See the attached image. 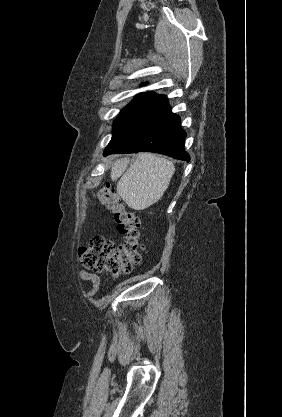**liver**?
I'll use <instances>...</instances> for the list:
<instances>
[{
  "label": "liver",
  "mask_w": 282,
  "mask_h": 417,
  "mask_svg": "<svg viewBox=\"0 0 282 417\" xmlns=\"http://www.w3.org/2000/svg\"><path fill=\"white\" fill-rule=\"evenodd\" d=\"M128 164V156L118 158L111 166L110 176L112 180L119 178L117 192L130 209L143 211L163 196L175 172L174 164L152 152H139L130 168Z\"/></svg>",
  "instance_id": "obj_1"
}]
</instances>
